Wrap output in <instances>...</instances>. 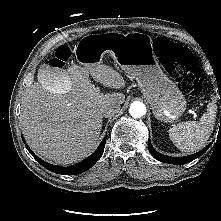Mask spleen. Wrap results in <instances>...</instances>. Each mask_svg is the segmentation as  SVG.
I'll return each instance as SVG.
<instances>
[{"instance_id": "spleen-1", "label": "spleen", "mask_w": 221, "mask_h": 221, "mask_svg": "<svg viewBox=\"0 0 221 221\" xmlns=\"http://www.w3.org/2000/svg\"><path fill=\"white\" fill-rule=\"evenodd\" d=\"M216 115L217 105L211 102L200 121H187L172 125L169 129V137L179 150L196 152L208 141L214 129Z\"/></svg>"}]
</instances>
